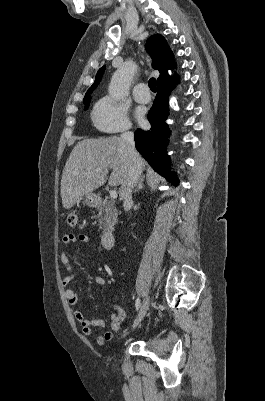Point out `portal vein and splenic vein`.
Wrapping results in <instances>:
<instances>
[{
	"mask_svg": "<svg viewBox=\"0 0 265 401\" xmlns=\"http://www.w3.org/2000/svg\"><path fill=\"white\" fill-rule=\"evenodd\" d=\"M110 196H111V198H117V196H118L117 190H110Z\"/></svg>",
	"mask_w": 265,
	"mask_h": 401,
	"instance_id": "1",
	"label": "portal vein and splenic vein"
}]
</instances>
